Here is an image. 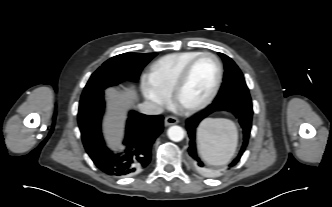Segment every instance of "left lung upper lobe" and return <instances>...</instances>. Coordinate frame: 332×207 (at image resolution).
<instances>
[{
    "mask_svg": "<svg viewBox=\"0 0 332 207\" xmlns=\"http://www.w3.org/2000/svg\"><path fill=\"white\" fill-rule=\"evenodd\" d=\"M224 61L225 73L223 84L214 101L231 98L251 99L244 77L234 61L223 53H219Z\"/></svg>",
    "mask_w": 332,
    "mask_h": 207,
    "instance_id": "5c2ea615",
    "label": "left lung upper lobe"
}]
</instances>
